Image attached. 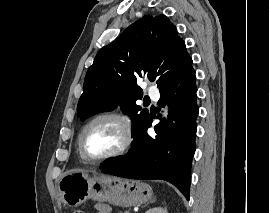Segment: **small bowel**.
<instances>
[{
  "label": "small bowel",
  "mask_w": 270,
  "mask_h": 213,
  "mask_svg": "<svg viewBox=\"0 0 270 213\" xmlns=\"http://www.w3.org/2000/svg\"><path fill=\"white\" fill-rule=\"evenodd\" d=\"M97 213H110V208L106 205L100 204L97 209Z\"/></svg>",
  "instance_id": "small-bowel-1"
}]
</instances>
